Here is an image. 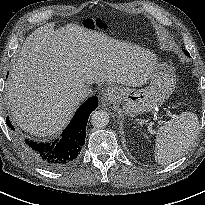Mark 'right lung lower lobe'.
Wrapping results in <instances>:
<instances>
[{"label":"right lung lower lobe","instance_id":"1","mask_svg":"<svg viewBox=\"0 0 205 205\" xmlns=\"http://www.w3.org/2000/svg\"><path fill=\"white\" fill-rule=\"evenodd\" d=\"M97 106V97H91L84 102L76 111L59 140L50 144L25 140L24 149L27 155L38 165L49 170L58 171L71 167L77 161L85 143L89 115ZM6 123L11 130H14L8 117Z\"/></svg>","mask_w":205,"mask_h":205}]
</instances>
